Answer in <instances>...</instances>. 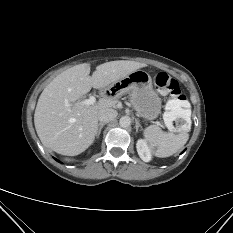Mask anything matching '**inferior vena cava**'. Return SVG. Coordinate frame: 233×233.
Listing matches in <instances>:
<instances>
[{"label": "inferior vena cava", "instance_id": "1", "mask_svg": "<svg viewBox=\"0 0 233 233\" xmlns=\"http://www.w3.org/2000/svg\"><path fill=\"white\" fill-rule=\"evenodd\" d=\"M117 116V111L114 109L101 110L98 113V120L100 123H108Z\"/></svg>", "mask_w": 233, "mask_h": 233}]
</instances>
